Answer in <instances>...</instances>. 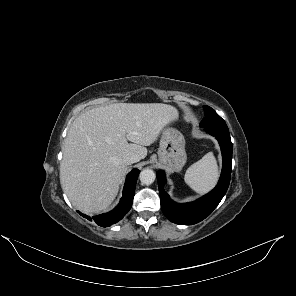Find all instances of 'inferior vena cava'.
I'll return each mask as SVG.
<instances>
[{
	"instance_id": "obj_1",
	"label": "inferior vena cava",
	"mask_w": 296,
	"mask_h": 296,
	"mask_svg": "<svg viewBox=\"0 0 296 296\" xmlns=\"http://www.w3.org/2000/svg\"><path fill=\"white\" fill-rule=\"evenodd\" d=\"M138 161H140V157H139V155L134 154V153H129V154H127V155H125L123 157V162L126 165H129V164H132V163H136Z\"/></svg>"
}]
</instances>
